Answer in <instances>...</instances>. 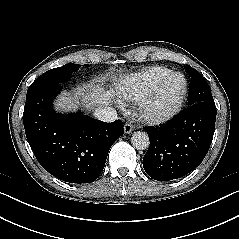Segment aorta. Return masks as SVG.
<instances>
[{
  "instance_id": "aorta-1",
  "label": "aorta",
  "mask_w": 239,
  "mask_h": 239,
  "mask_svg": "<svg viewBox=\"0 0 239 239\" xmlns=\"http://www.w3.org/2000/svg\"><path fill=\"white\" fill-rule=\"evenodd\" d=\"M131 144L133 147H135L137 150H145L149 147V137L147 133L142 131L134 132L131 137Z\"/></svg>"
}]
</instances>
